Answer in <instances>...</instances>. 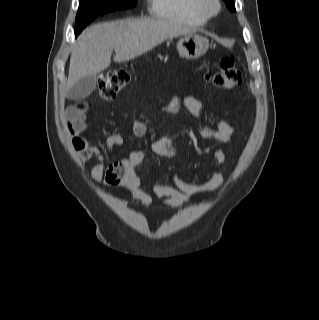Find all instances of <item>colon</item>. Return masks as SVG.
<instances>
[{
    "mask_svg": "<svg viewBox=\"0 0 319 320\" xmlns=\"http://www.w3.org/2000/svg\"><path fill=\"white\" fill-rule=\"evenodd\" d=\"M207 81L221 89H231L241 82V75L236 68L233 57L225 56L220 60L219 69L214 73L206 75ZM131 80L130 73L124 68H116L106 73L100 80L99 95L105 101H111L116 98ZM121 164L115 162L110 167L108 177L111 180L118 178L113 175V171L120 169Z\"/></svg>",
    "mask_w": 319,
    "mask_h": 320,
    "instance_id": "obj_1",
    "label": "colon"
}]
</instances>
